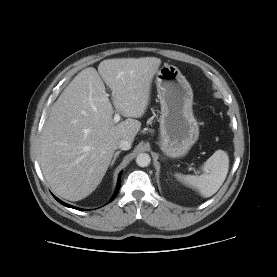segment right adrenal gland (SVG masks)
I'll use <instances>...</instances> for the list:
<instances>
[{
    "label": "right adrenal gland",
    "mask_w": 277,
    "mask_h": 277,
    "mask_svg": "<svg viewBox=\"0 0 277 277\" xmlns=\"http://www.w3.org/2000/svg\"><path fill=\"white\" fill-rule=\"evenodd\" d=\"M121 153V151H117L115 154H114V158L110 164V166H113V164L115 163L116 159L118 158L119 154Z\"/></svg>",
    "instance_id": "right-adrenal-gland-1"
}]
</instances>
